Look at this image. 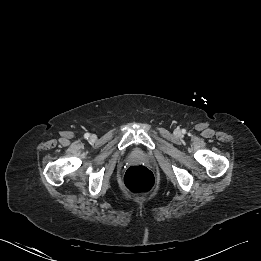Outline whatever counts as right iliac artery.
<instances>
[{"label":"right iliac artery","instance_id":"1","mask_svg":"<svg viewBox=\"0 0 261 261\" xmlns=\"http://www.w3.org/2000/svg\"><path fill=\"white\" fill-rule=\"evenodd\" d=\"M84 137H85L86 139H88V138L90 137V134H89V133H86V134L84 135Z\"/></svg>","mask_w":261,"mask_h":261}]
</instances>
